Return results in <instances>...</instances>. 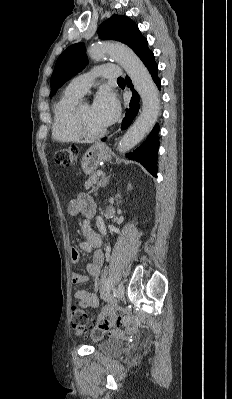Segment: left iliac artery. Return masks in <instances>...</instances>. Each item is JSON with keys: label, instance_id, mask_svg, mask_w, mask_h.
<instances>
[{"label": "left iliac artery", "instance_id": "1", "mask_svg": "<svg viewBox=\"0 0 232 399\" xmlns=\"http://www.w3.org/2000/svg\"><path fill=\"white\" fill-rule=\"evenodd\" d=\"M105 286L106 287H111L114 297H116L118 299L120 298V294H119L118 290L113 286L112 280L110 278H108L106 280Z\"/></svg>", "mask_w": 232, "mask_h": 399}]
</instances>
